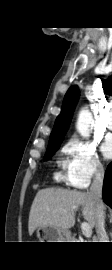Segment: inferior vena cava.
<instances>
[{
  "mask_svg": "<svg viewBox=\"0 0 112 270\" xmlns=\"http://www.w3.org/2000/svg\"><path fill=\"white\" fill-rule=\"evenodd\" d=\"M104 179V169L101 165H97L93 182L90 187L89 194L92 196L96 204V222L95 229L98 236V242H108V236L104 227V205L102 201V187Z\"/></svg>",
  "mask_w": 112,
  "mask_h": 270,
  "instance_id": "inferior-vena-cava-1",
  "label": "inferior vena cava"
}]
</instances>
